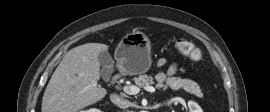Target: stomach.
Returning <instances> with one entry per match:
<instances>
[{"mask_svg":"<svg viewBox=\"0 0 270 112\" xmlns=\"http://www.w3.org/2000/svg\"><path fill=\"white\" fill-rule=\"evenodd\" d=\"M118 67L123 72L137 75L151 66L150 41L142 32L126 34L115 50Z\"/></svg>","mask_w":270,"mask_h":112,"instance_id":"1","label":"stomach"}]
</instances>
